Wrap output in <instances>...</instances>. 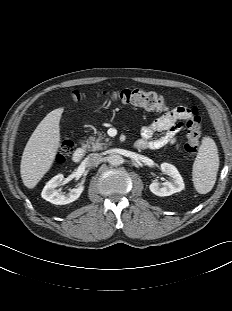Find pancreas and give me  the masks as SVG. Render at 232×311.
<instances>
[{
  "mask_svg": "<svg viewBox=\"0 0 232 311\" xmlns=\"http://www.w3.org/2000/svg\"><path fill=\"white\" fill-rule=\"evenodd\" d=\"M105 134L98 133V137L90 136L85 144V148L89 151H99L105 148L107 145H111L108 138H105L104 142L103 139Z\"/></svg>",
  "mask_w": 232,
  "mask_h": 311,
  "instance_id": "cf45deb5",
  "label": "pancreas"
}]
</instances>
